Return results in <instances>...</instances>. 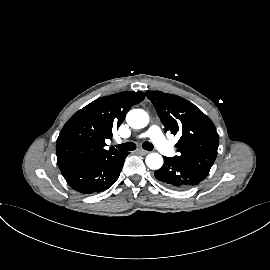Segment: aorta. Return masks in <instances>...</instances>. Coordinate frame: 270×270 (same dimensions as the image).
<instances>
[{
	"label": "aorta",
	"instance_id": "1",
	"mask_svg": "<svg viewBox=\"0 0 270 270\" xmlns=\"http://www.w3.org/2000/svg\"><path fill=\"white\" fill-rule=\"evenodd\" d=\"M126 121L130 127L140 129L148 125L149 116L142 109H133L127 113ZM146 165L150 169L157 170L163 165V158L158 153H150L146 157Z\"/></svg>",
	"mask_w": 270,
	"mask_h": 270
}]
</instances>
